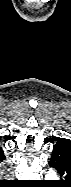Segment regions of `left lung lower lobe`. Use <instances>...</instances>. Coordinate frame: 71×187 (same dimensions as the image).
Segmentation results:
<instances>
[{
	"instance_id": "obj_1",
	"label": "left lung lower lobe",
	"mask_w": 71,
	"mask_h": 187,
	"mask_svg": "<svg viewBox=\"0 0 71 187\" xmlns=\"http://www.w3.org/2000/svg\"><path fill=\"white\" fill-rule=\"evenodd\" d=\"M49 165L63 177L61 182H68L71 179V148L55 144Z\"/></svg>"
}]
</instances>
